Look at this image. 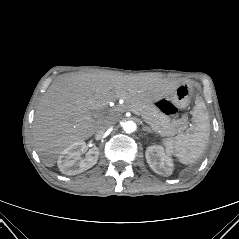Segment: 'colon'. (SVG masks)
I'll return each instance as SVG.
<instances>
[{"mask_svg":"<svg viewBox=\"0 0 239 239\" xmlns=\"http://www.w3.org/2000/svg\"><path fill=\"white\" fill-rule=\"evenodd\" d=\"M160 110L169 117H175L178 113L177 107L167 100H161L158 102Z\"/></svg>","mask_w":239,"mask_h":239,"instance_id":"1","label":"colon"}]
</instances>
